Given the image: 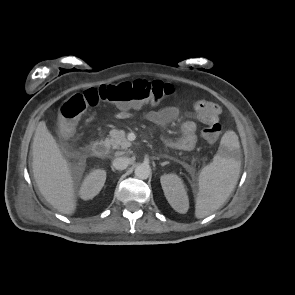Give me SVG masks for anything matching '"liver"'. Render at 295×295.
I'll return each mask as SVG.
<instances>
[{
	"label": "liver",
	"mask_w": 295,
	"mask_h": 295,
	"mask_svg": "<svg viewBox=\"0 0 295 295\" xmlns=\"http://www.w3.org/2000/svg\"><path fill=\"white\" fill-rule=\"evenodd\" d=\"M31 148L33 176L40 193L58 212L72 215L77 206L72 171L45 121L38 123Z\"/></svg>",
	"instance_id": "liver-1"
}]
</instances>
